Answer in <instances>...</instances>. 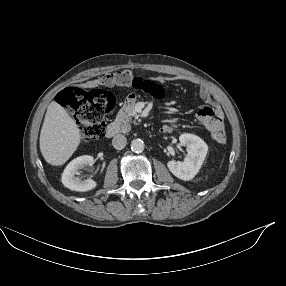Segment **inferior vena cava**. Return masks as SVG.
Segmentation results:
<instances>
[{"instance_id":"inferior-vena-cava-1","label":"inferior vena cava","mask_w":286,"mask_h":286,"mask_svg":"<svg viewBox=\"0 0 286 286\" xmlns=\"http://www.w3.org/2000/svg\"><path fill=\"white\" fill-rule=\"evenodd\" d=\"M127 144V139L124 135L118 134L113 137L112 145L117 150H122Z\"/></svg>"}]
</instances>
